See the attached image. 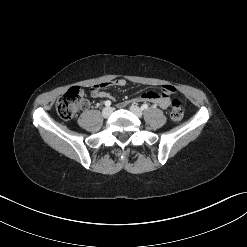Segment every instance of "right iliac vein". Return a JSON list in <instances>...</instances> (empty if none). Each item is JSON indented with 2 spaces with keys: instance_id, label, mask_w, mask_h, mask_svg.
Here are the masks:
<instances>
[{
  "instance_id": "obj_1",
  "label": "right iliac vein",
  "mask_w": 247,
  "mask_h": 247,
  "mask_svg": "<svg viewBox=\"0 0 247 247\" xmlns=\"http://www.w3.org/2000/svg\"><path fill=\"white\" fill-rule=\"evenodd\" d=\"M111 114H112V109H111L110 107H106V108H104L103 111H102V116H103L104 118L110 117Z\"/></svg>"
}]
</instances>
